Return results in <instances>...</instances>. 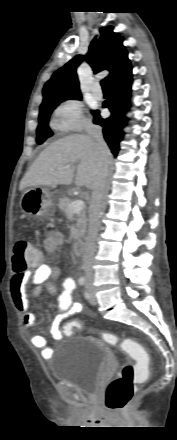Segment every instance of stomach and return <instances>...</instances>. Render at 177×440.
Returning <instances> with one entry per match:
<instances>
[{
	"instance_id": "obj_1",
	"label": "stomach",
	"mask_w": 177,
	"mask_h": 440,
	"mask_svg": "<svg viewBox=\"0 0 177 440\" xmlns=\"http://www.w3.org/2000/svg\"><path fill=\"white\" fill-rule=\"evenodd\" d=\"M20 207L25 215L41 220L50 218L55 212L52 193L48 188L40 186L24 191Z\"/></svg>"
}]
</instances>
